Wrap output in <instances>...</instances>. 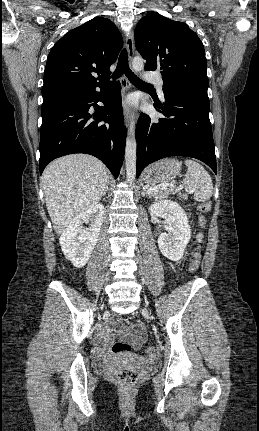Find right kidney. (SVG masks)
<instances>
[{
  "label": "right kidney",
  "mask_w": 259,
  "mask_h": 431,
  "mask_svg": "<svg viewBox=\"0 0 259 431\" xmlns=\"http://www.w3.org/2000/svg\"><path fill=\"white\" fill-rule=\"evenodd\" d=\"M103 216V204H95L77 215L63 231L60 237L62 252L75 267H84L91 257L100 234ZM84 222H90L86 230L82 227Z\"/></svg>",
  "instance_id": "obj_1"
}]
</instances>
